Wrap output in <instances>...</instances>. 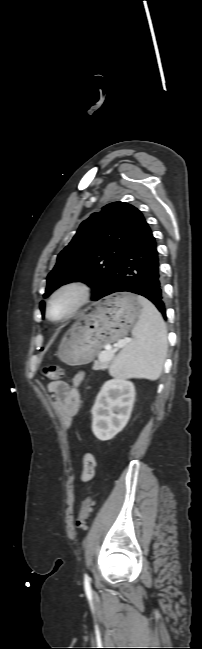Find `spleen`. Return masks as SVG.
<instances>
[{"label":"spleen","instance_id":"1","mask_svg":"<svg viewBox=\"0 0 202 649\" xmlns=\"http://www.w3.org/2000/svg\"><path fill=\"white\" fill-rule=\"evenodd\" d=\"M141 315L133 327L134 340L125 345L109 370L115 377L156 380L167 351V330L161 314L146 298L137 296Z\"/></svg>","mask_w":202,"mask_h":649}]
</instances>
